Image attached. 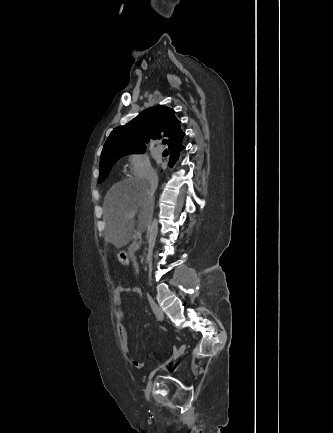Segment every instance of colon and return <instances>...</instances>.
Listing matches in <instances>:
<instances>
[{"label": "colon", "mask_w": 333, "mask_h": 433, "mask_svg": "<svg viewBox=\"0 0 333 433\" xmlns=\"http://www.w3.org/2000/svg\"><path fill=\"white\" fill-rule=\"evenodd\" d=\"M115 257L117 258V263L121 264L123 268L129 267V262L126 259V250L125 249H116Z\"/></svg>", "instance_id": "1"}]
</instances>
